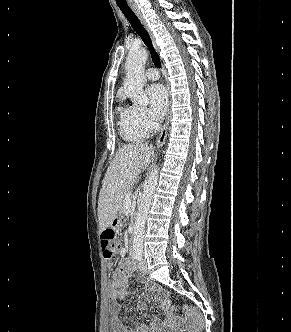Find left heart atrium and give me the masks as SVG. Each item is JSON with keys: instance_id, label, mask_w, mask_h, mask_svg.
<instances>
[{"instance_id": "left-heart-atrium-1", "label": "left heart atrium", "mask_w": 291, "mask_h": 332, "mask_svg": "<svg viewBox=\"0 0 291 332\" xmlns=\"http://www.w3.org/2000/svg\"><path fill=\"white\" fill-rule=\"evenodd\" d=\"M150 104V116L154 120H161L168 106V94L161 84H153L146 89Z\"/></svg>"}]
</instances>
